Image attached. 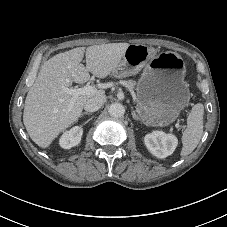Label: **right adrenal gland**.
<instances>
[{
    "label": "right adrenal gland",
    "instance_id": "2a0ac1e0",
    "mask_svg": "<svg viewBox=\"0 0 227 227\" xmlns=\"http://www.w3.org/2000/svg\"><path fill=\"white\" fill-rule=\"evenodd\" d=\"M85 115H92L91 113H88V112H84L81 114V116H85Z\"/></svg>",
    "mask_w": 227,
    "mask_h": 227
}]
</instances>
